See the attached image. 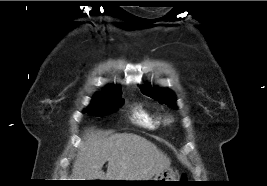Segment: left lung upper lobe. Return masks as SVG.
<instances>
[{"instance_id":"5c2ea615","label":"left lung upper lobe","mask_w":267,"mask_h":186,"mask_svg":"<svg viewBox=\"0 0 267 186\" xmlns=\"http://www.w3.org/2000/svg\"><path fill=\"white\" fill-rule=\"evenodd\" d=\"M140 89L144 95H147L155 99L156 101H159V103L161 104H166L169 107L176 109V105H175L176 99L172 91L167 90V89L159 90V89L151 88L150 85L141 86Z\"/></svg>"}]
</instances>
